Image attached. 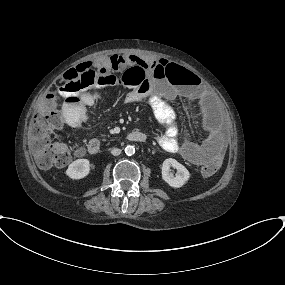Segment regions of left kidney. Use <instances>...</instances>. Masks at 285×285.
<instances>
[{"label":"left kidney","instance_id":"5707ae66","mask_svg":"<svg viewBox=\"0 0 285 285\" xmlns=\"http://www.w3.org/2000/svg\"><path fill=\"white\" fill-rule=\"evenodd\" d=\"M170 167L177 170V174L174 177L170 172ZM189 171L178 161L172 158L166 159L162 164V179L173 188L182 187L189 179Z\"/></svg>","mask_w":285,"mask_h":285}]
</instances>
